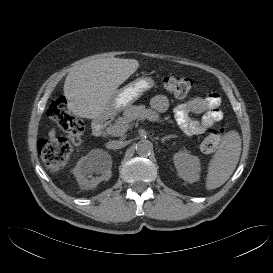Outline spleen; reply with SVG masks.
Listing matches in <instances>:
<instances>
[{
  "instance_id": "1",
  "label": "spleen",
  "mask_w": 273,
  "mask_h": 273,
  "mask_svg": "<svg viewBox=\"0 0 273 273\" xmlns=\"http://www.w3.org/2000/svg\"><path fill=\"white\" fill-rule=\"evenodd\" d=\"M241 154V138L236 131H229L220 148L208 165L206 189L213 190L223 185L234 172Z\"/></svg>"
}]
</instances>
